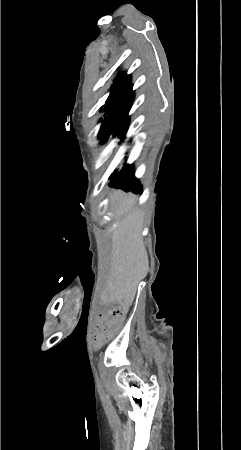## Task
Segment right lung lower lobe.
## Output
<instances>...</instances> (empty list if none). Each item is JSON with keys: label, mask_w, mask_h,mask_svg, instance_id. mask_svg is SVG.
<instances>
[{"label": "right lung lower lobe", "mask_w": 241, "mask_h": 450, "mask_svg": "<svg viewBox=\"0 0 241 450\" xmlns=\"http://www.w3.org/2000/svg\"><path fill=\"white\" fill-rule=\"evenodd\" d=\"M111 179L110 186L121 188L125 191H132L134 193H141L139 182L134 176V166L124 165L123 169L118 172L115 170L109 177Z\"/></svg>", "instance_id": "obj_1"}]
</instances>
